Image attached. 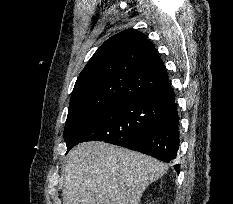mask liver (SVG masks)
I'll use <instances>...</instances> for the list:
<instances>
[{"instance_id":"1","label":"liver","mask_w":233,"mask_h":204,"mask_svg":"<svg viewBox=\"0 0 233 204\" xmlns=\"http://www.w3.org/2000/svg\"><path fill=\"white\" fill-rule=\"evenodd\" d=\"M168 166L104 142H83L67 155L63 204H139Z\"/></svg>"}]
</instances>
